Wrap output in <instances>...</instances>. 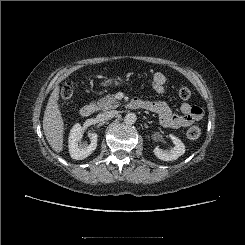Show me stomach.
Instances as JSON below:
<instances>
[{
  "label": "stomach",
  "mask_w": 245,
  "mask_h": 245,
  "mask_svg": "<svg viewBox=\"0 0 245 245\" xmlns=\"http://www.w3.org/2000/svg\"><path fill=\"white\" fill-rule=\"evenodd\" d=\"M123 84V81L121 79L113 80V79H105L102 83L103 86H109V85H115L120 86Z\"/></svg>",
  "instance_id": "1"
}]
</instances>
